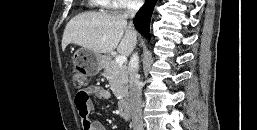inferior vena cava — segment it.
I'll list each match as a JSON object with an SVG mask.
<instances>
[{
    "mask_svg": "<svg viewBox=\"0 0 257 130\" xmlns=\"http://www.w3.org/2000/svg\"><path fill=\"white\" fill-rule=\"evenodd\" d=\"M141 4H142V0L131 1L128 7V10L123 15V17L125 19L134 18ZM129 29L136 34V31L134 30L132 22L129 23ZM138 69H139V57H138V53L135 52L132 54L129 62L130 106H131L133 130H143L141 83L139 81Z\"/></svg>",
    "mask_w": 257,
    "mask_h": 130,
    "instance_id": "1",
    "label": "inferior vena cava"
}]
</instances>
